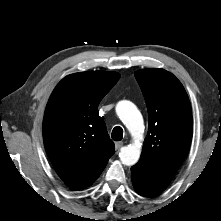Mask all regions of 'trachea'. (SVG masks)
<instances>
[{
    "label": "trachea",
    "instance_id": "obj_1",
    "mask_svg": "<svg viewBox=\"0 0 221 221\" xmlns=\"http://www.w3.org/2000/svg\"><path fill=\"white\" fill-rule=\"evenodd\" d=\"M112 139L114 141H120L123 138V129L120 126H116L113 130H112Z\"/></svg>",
    "mask_w": 221,
    "mask_h": 221
}]
</instances>
